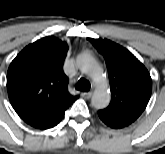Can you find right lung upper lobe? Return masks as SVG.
Returning <instances> with one entry per match:
<instances>
[{
  "instance_id": "obj_1",
  "label": "right lung upper lobe",
  "mask_w": 165,
  "mask_h": 154,
  "mask_svg": "<svg viewBox=\"0 0 165 154\" xmlns=\"http://www.w3.org/2000/svg\"><path fill=\"white\" fill-rule=\"evenodd\" d=\"M68 45L48 36L26 46L11 62L7 90L12 107L20 118L41 112L66 97L68 78L63 64Z\"/></svg>"
}]
</instances>
